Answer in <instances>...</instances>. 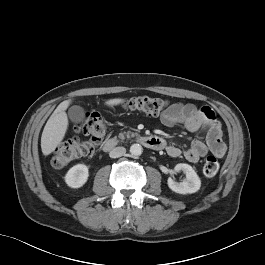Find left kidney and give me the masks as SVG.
Masks as SVG:
<instances>
[{"label":"left kidney","mask_w":265,"mask_h":265,"mask_svg":"<svg viewBox=\"0 0 265 265\" xmlns=\"http://www.w3.org/2000/svg\"><path fill=\"white\" fill-rule=\"evenodd\" d=\"M175 172L183 171L186 180L176 182L171 177L168 178V187L179 194H191L197 192L201 187V180L195 170L188 164L179 163L174 168Z\"/></svg>","instance_id":"1"}]
</instances>
